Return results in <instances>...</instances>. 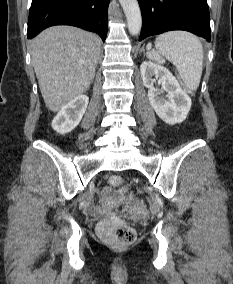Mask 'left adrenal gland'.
I'll return each mask as SVG.
<instances>
[{
  "instance_id": "left-adrenal-gland-1",
  "label": "left adrenal gland",
  "mask_w": 233,
  "mask_h": 284,
  "mask_svg": "<svg viewBox=\"0 0 233 284\" xmlns=\"http://www.w3.org/2000/svg\"><path fill=\"white\" fill-rule=\"evenodd\" d=\"M140 52H143L145 54L144 46L141 48ZM148 55V53H146Z\"/></svg>"
}]
</instances>
